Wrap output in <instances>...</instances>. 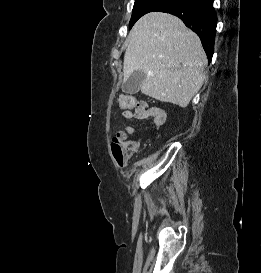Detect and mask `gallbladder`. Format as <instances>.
<instances>
[{
	"mask_svg": "<svg viewBox=\"0 0 261 273\" xmlns=\"http://www.w3.org/2000/svg\"><path fill=\"white\" fill-rule=\"evenodd\" d=\"M146 78V74L143 71H134L130 77L122 85V91L126 94H136L139 92L141 84Z\"/></svg>",
	"mask_w": 261,
	"mask_h": 273,
	"instance_id": "bac80fb5",
	"label": "gallbladder"
}]
</instances>
